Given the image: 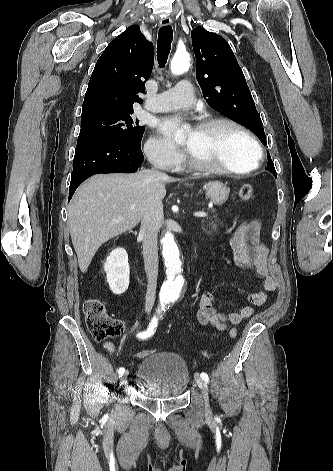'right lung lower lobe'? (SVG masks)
Segmentation results:
<instances>
[{
  "label": "right lung lower lobe",
  "mask_w": 333,
  "mask_h": 471,
  "mask_svg": "<svg viewBox=\"0 0 333 471\" xmlns=\"http://www.w3.org/2000/svg\"><path fill=\"white\" fill-rule=\"evenodd\" d=\"M141 147L106 137L79 139L69 187V200L77 187L98 173H133L143 163Z\"/></svg>",
  "instance_id": "right-lung-lower-lobe-1"
}]
</instances>
